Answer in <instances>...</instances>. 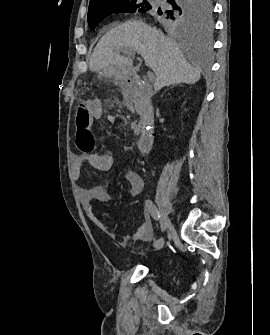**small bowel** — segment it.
<instances>
[{"label":"small bowel","instance_id":"obj_1","mask_svg":"<svg viewBox=\"0 0 270 335\" xmlns=\"http://www.w3.org/2000/svg\"><path fill=\"white\" fill-rule=\"evenodd\" d=\"M89 106L92 109V115L95 119H100L103 115L102 108L96 101H89ZM133 151L132 147L127 146L123 149V153L129 154ZM86 163H89L97 170H109L113 163L114 157L106 153H92L89 155L77 154L73 158V174L75 179H80L83 176ZM125 179L130 187V195L132 197L138 195L143 189V179L141 175L134 169H128L125 172ZM80 198L82 205L89 219L101 230L105 231L109 236L115 235V229L109 230L108 225L97 216L94 211V202L107 203L110 200V195L105 188H81ZM144 221L139 229L131 236L133 240H147L152 236V226L149 221L147 210L143 211Z\"/></svg>","mask_w":270,"mask_h":335}]
</instances>
